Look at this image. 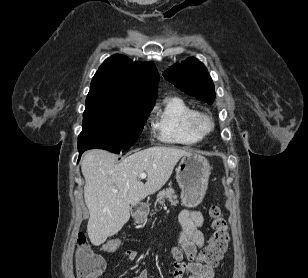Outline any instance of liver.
Wrapping results in <instances>:
<instances>
[{"label": "liver", "mask_w": 308, "mask_h": 278, "mask_svg": "<svg viewBox=\"0 0 308 278\" xmlns=\"http://www.w3.org/2000/svg\"><path fill=\"white\" fill-rule=\"evenodd\" d=\"M189 154L179 148L155 146L135 152L117 164V156L111 152L88 151L81 171L91 243L99 246L118 233L130 218V205L161 189L180 158ZM142 172L147 174L145 184L139 179Z\"/></svg>", "instance_id": "6515ba94"}]
</instances>
